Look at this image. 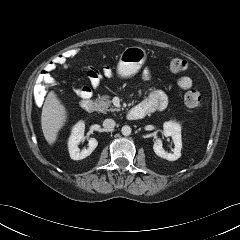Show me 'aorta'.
Here are the masks:
<instances>
[{"label":"aorta","instance_id":"1","mask_svg":"<svg viewBox=\"0 0 240 240\" xmlns=\"http://www.w3.org/2000/svg\"><path fill=\"white\" fill-rule=\"evenodd\" d=\"M121 132L124 136H129L131 134V127L128 125H125L122 127Z\"/></svg>","mask_w":240,"mask_h":240}]
</instances>
